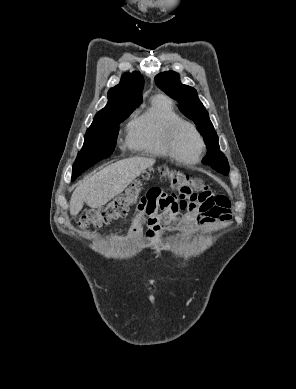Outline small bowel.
<instances>
[{"label":"small bowel","mask_w":296,"mask_h":389,"mask_svg":"<svg viewBox=\"0 0 296 389\" xmlns=\"http://www.w3.org/2000/svg\"><path fill=\"white\" fill-rule=\"evenodd\" d=\"M230 219L231 203L225 196L209 191L181 197L154 188L138 204L131 220V230L137 231L147 225L150 238L160 231L192 234Z\"/></svg>","instance_id":"small-bowel-1"}]
</instances>
